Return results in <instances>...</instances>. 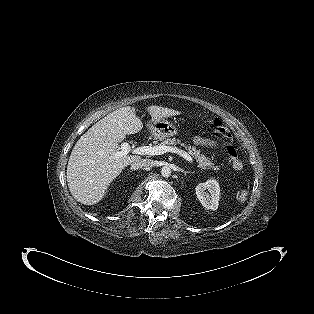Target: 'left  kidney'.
Segmentation results:
<instances>
[{
    "label": "left kidney",
    "instance_id": "obj_1",
    "mask_svg": "<svg viewBox=\"0 0 314 314\" xmlns=\"http://www.w3.org/2000/svg\"><path fill=\"white\" fill-rule=\"evenodd\" d=\"M195 190L203 207L210 210H217L220 198V187L216 180L209 179L205 183H199Z\"/></svg>",
    "mask_w": 314,
    "mask_h": 314
}]
</instances>
